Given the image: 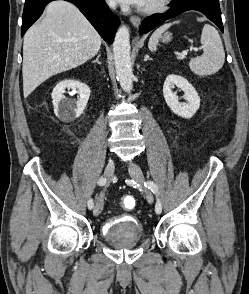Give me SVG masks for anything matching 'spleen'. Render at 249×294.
Returning <instances> with one entry per match:
<instances>
[{"instance_id":"spleen-1","label":"spleen","mask_w":249,"mask_h":294,"mask_svg":"<svg viewBox=\"0 0 249 294\" xmlns=\"http://www.w3.org/2000/svg\"><path fill=\"white\" fill-rule=\"evenodd\" d=\"M175 23H179V21L166 23L154 31L148 43L151 51H156L162 33ZM200 41L203 46V54L191 59L189 67L196 75H212L222 68L225 61V52L220 35L213 26L206 24L203 27Z\"/></svg>"}]
</instances>
